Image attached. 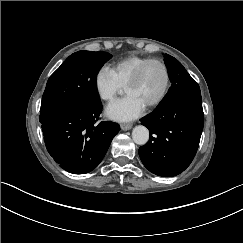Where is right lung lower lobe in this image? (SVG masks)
<instances>
[{"instance_id": "right-lung-lower-lobe-1", "label": "right lung lower lobe", "mask_w": 243, "mask_h": 243, "mask_svg": "<svg viewBox=\"0 0 243 243\" xmlns=\"http://www.w3.org/2000/svg\"><path fill=\"white\" fill-rule=\"evenodd\" d=\"M102 104L64 102L40 114L44 141L49 154L73 174L95 169L118 133V124H96Z\"/></svg>"}]
</instances>
